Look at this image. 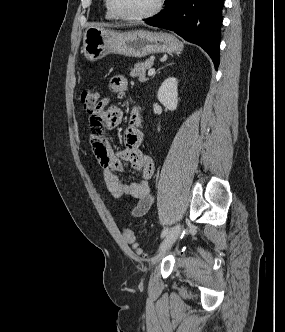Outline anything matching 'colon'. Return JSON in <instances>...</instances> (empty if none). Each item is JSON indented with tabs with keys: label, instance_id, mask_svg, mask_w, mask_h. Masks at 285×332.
<instances>
[{
	"label": "colon",
	"instance_id": "5ec220e1",
	"mask_svg": "<svg viewBox=\"0 0 285 332\" xmlns=\"http://www.w3.org/2000/svg\"><path fill=\"white\" fill-rule=\"evenodd\" d=\"M99 96H101L100 92L94 89H85L81 92L80 102L87 113L90 114L92 108L96 107V103H99ZM123 237L128 244L132 245L133 248L137 250L138 253H141L137 246L136 237L133 230L129 228L124 229Z\"/></svg>",
	"mask_w": 285,
	"mask_h": 332
}]
</instances>
